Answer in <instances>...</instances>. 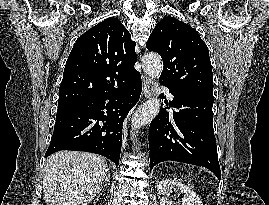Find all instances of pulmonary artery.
Instances as JSON below:
<instances>
[{
	"label": "pulmonary artery",
	"instance_id": "pulmonary-artery-1",
	"mask_svg": "<svg viewBox=\"0 0 269 205\" xmlns=\"http://www.w3.org/2000/svg\"><path fill=\"white\" fill-rule=\"evenodd\" d=\"M166 93H167L168 98L171 99L172 98L171 94H169L168 92Z\"/></svg>",
	"mask_w": 269,
	"mask_h": 205
}]
</instances>
